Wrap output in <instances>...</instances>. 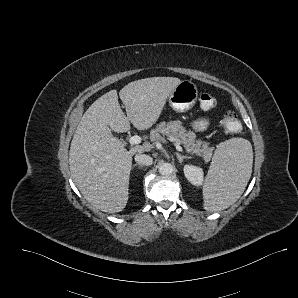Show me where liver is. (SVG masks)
<instances>
[{
  "label": "liver",
  "mask_w": 298,
  "mask_h": 298,
  "mask_svg": "<svg viewBox=\"0 0 298 298\" xmlns=\"http://www.w3.org/2000/svg\"><path fill=\"white\" fill-rule=\"evenodd\" d=\"M180 81L168 76L132 81L119 92L126 114L117 90L100 96L83 114L71 141L69 166L77 188L95 208L114 213L126 206L132 157L144 150L138 145L127 151L112 131L127 132L130 122L139 130L151 127Z\"/></svg>",
  "instance_id": "obj_1"
}]
</instances>
